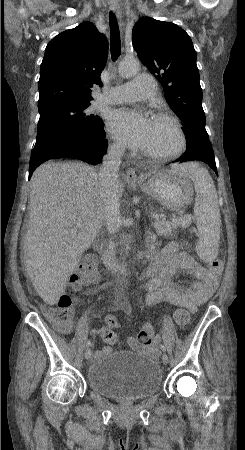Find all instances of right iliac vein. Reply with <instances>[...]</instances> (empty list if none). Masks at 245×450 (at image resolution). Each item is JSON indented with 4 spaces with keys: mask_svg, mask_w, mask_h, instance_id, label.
<instances>
[{
    "mask_svg": "<svg viewBox=\"0 0 245 450\" xmlns=\"http://www.w3.org/2000/svg\"><path fill=\"white\" fill-rule=\"evenodd\" d=\"M91 355H92L91 349H87V350L85 351V358H86V359H89V358L91 357Z\"/></svg>",
    "mask_w": 245,
    "mask_h": 450,
    "instance_id": "1",
    "label": "right iliac vein"
}]
</instances>
